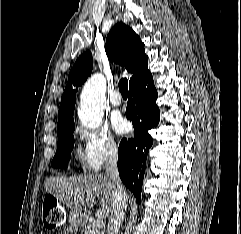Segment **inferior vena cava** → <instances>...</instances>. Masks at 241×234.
I'll use <instances>...</instances> for the list:
<instances>
[{"mask_svg":"<svg viewBox=\"0 0 241 234\" xmlns=\"http://www.w3.org/2000/svg\"><path fill=\"white\" fill-rule=\"evenodd\" d=\"M118 154L115 144L111 145L107 153L106 175L110 179L112 187V210L108 220L107 234H118L120 225L127 209L128 197L120 180L117 167Z\"/></svg>","mask_w":241,"mask_h":234,"instance_id":"inferior-vena-cava-1","label":"inferior vena cava"}]
</instances>
